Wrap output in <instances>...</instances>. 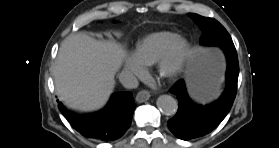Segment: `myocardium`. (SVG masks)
Wrapping results in <instances>:
<instances>
[{
	"label": "myocardium",
	"mask_w": 279,
	"mask_h": 148,
	"mask_svg": "<svg viewBox=\"0 0 279 148\" xmlns=\"http://www.w3.org/2000/svg\"><path fill=\"white\" fill-rule=\"evenodd\" d=\"M189 54V42L177 36L157 62V74L165 80H173L182 72Z\"/></svg>",
	"instance_id": "1"
}]
</instances>
